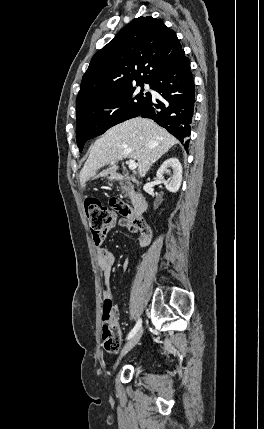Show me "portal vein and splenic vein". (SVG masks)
Returning a JSON list of instances; mask_svg holds the SVG:
<instances>
[{"instance_id": "portal-vein-and-splenic-vein-1", "label": "portal vein and splenic vein", "mask_w": 264, "mask_h": 429, "mask_svg": "<svg viewBox=\"0 0 264 429\" xmlns=\"http://www.w3.org/2000/svg\"><path fill=\"white\" fill-rule=\"evenodd\" d=\"M128 166H129L130 170H135L138 165H137V163L134 160H130Z\"/></svg>"}]
</instances>
